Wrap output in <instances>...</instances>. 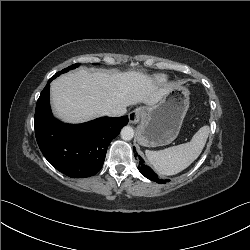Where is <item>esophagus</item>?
Wrapping results in <instances>:
<instances>
[{"label":"esophagus","mask_w":250,"mask_h":250,"mask_svg":"<svg viewBox=\"0 0 250 250\" xmlns=\"http://www.w3.org/2000/svg\"><path fill=\"white\" fill-rule=\"evenodd\" d=\"M144 114V109L138 107L129 113V121L132 124H137Z\"/></svg>","instance_id":"1"}]
</instances>
